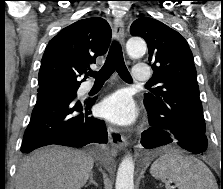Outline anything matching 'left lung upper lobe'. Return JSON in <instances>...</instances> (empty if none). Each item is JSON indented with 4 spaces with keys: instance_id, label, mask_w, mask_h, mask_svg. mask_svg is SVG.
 Instances as JSON below:
<instances>
[{
    "instance_id": "obj_1",
    "label": "left lung upper lobe",
    "mask_w": 223,
    "mask_h": 189,
    "mask_svg": "<svg viewBox=\"0 0 223 189\" xmlns=\"http://www.w3.org/2000/svg\"><path fill=\"white\" fill-rule=\"evenodd\" d=\"M130 31L147 42L149 64L154 70L151 83L158 85L152 93L144 94L147 109L159 116L168 128L205 133L196 69L185 38L162 22L147 17L135 20Z\"/></svg>"
}]
</instances>
